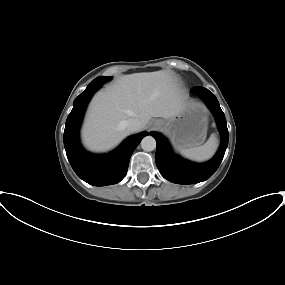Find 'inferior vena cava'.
Segmentation results:
<instances>
[{
  "mask_svg": "<svg viewBox=\"0 0 285 285\" xmlns=\"http://www.w3.org/2000/svg\"><path fill=\"white\" fill-rule=\"evenodd\" d=\"M124 126L129 132H135L140 130L141 122L136 118H130L124 122Z\"/></svg>",
  "mask_w": 285,
  "mask_h": 285,
  "instance_id": "obj_1",
  "label": "inferior vena cava"
}]
</instances>
